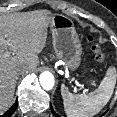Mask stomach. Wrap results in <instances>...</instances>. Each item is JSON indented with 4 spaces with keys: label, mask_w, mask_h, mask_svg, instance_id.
<instances>
[{
    "label": "stomach",
    "mask_w": 117,
    "mask_h": 117,
    "mask_svg": "<svg viewBox=\"0 0 117 117\" xmlns=\"http://www.w3.org/2000/svg\"><path fill=\"white\" fill-rule=\"evenodd\" d=\"M49 26L56 58L70 70L77 69L82 48L73 21L62 14H51Z\"/></svg>",
    "instance_id": "1"
}]
</instances>
